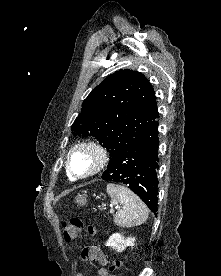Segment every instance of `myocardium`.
Here are the masks:
<instances>
[{
  "label": "myocardium",
  "instance_id": "1",
  "mask_svg": "<svg viewBox=\"0 0 221 276\" xmlns=\"http://www.w3.org/2000/svg\"><path fill=\"white\" fill-rule=\"evenodd\" d=\"M78 151L88 152L94 160L92 168L84 174L74 173L71 167V158ZM107 161H108L107 152L100 144L94 141H81L74 144L69 149L66 155L65 164H66V169L68 174L74 179L81 180V179L91 178L99 174L105 168Z\"/></svg>",
  "mask_w": 221,
  "mask_h": 276
}]
</instances>
